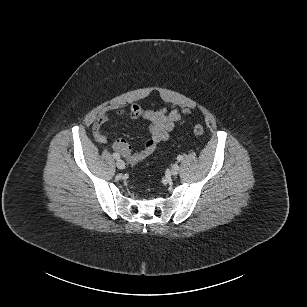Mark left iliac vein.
Instances as JSON below:
<instances>
[{
  "instance_id": "1",
  "label": "left iliac vein",
  "mask_w": 307,
  "mask_h": 307,
  "mask_svg": "<svg viewBox=\"0 0 307 307\" xmlns=\"http://www.w3.org/2000/svg\"><path fill=\"white\" fill-rule=\"evenodd\" d=\"M179 170H180L179 164L175 163L171 167V174L175 176L179 173Z\"/></svg>"
}]
</instances>
